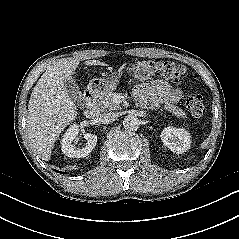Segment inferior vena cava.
<instances>
[{
    "label": "inferior vena cava",
    "instance_id": "obj_1",
    "mask_svg": "<svg viewBox=\"0 0 239 239\" xmlns=\"http://www.w3.org/2000/svg\"><path fill=\"white\" fill-rule=\"evenodd\" d=\"M117 118V115L116 113L114 112H109V113H103V114H100L99 117H98V120L101 122V123H104V124H109L111 122H114Z\"/></svg>",
    "mask_w": 239,
    "mask_h": 239
}]
</instances>
